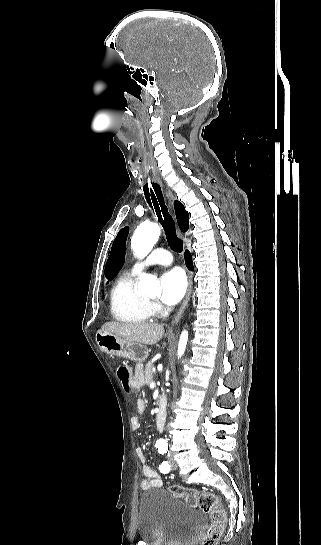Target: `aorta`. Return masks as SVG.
<instances>
[{"label": "aorta", "instance_id": "1", "mask_svg": "<svg viewBox=\"0 0 321 545\" xmlns=\"http://www.w3.org/2000/svg\"><path fill=\"white\" fill-rule=\"evenodd\" d=\"M161 230L157 224L142 223L137 227L131 238V249L136 257L142 259L148 255L155 243L158 241ZM138 289L141 293L155 294L159 291L158 282L155 276L143 274L140 278ZM188 332L183 331L178 346V356L181 357L186 349Z\"/></svg>", "mask_w": 321, "mask_h": 545}]
</instances>
